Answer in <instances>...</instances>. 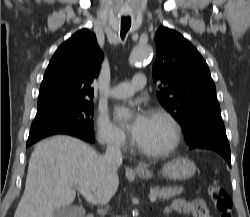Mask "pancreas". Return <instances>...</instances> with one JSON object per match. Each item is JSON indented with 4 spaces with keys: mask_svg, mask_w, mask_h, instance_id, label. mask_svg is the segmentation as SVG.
<instances>
[{
    "mask_svg": "<svg viewBox=\"0 0 250 217\" xmlns=\"http://www.w3.org/2000/svg\"><path fill=\"white\" fill-rule=\"evenodd\" d=\"M184 191L183 187H155L150 190V195H154L159 198V200H168L177 195H180Z\"/></svg>",
    "mask_w": 250,
    "mask_h": 217,
    "instance_id": "cf45deb5",
    "label": "pancreas"
}]
</instances>
